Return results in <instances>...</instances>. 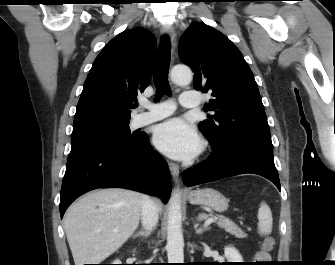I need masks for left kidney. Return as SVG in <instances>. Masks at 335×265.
Returning a JSON list of instances; mask_svg holds the SVG:
<instances>
[{
  "label": "left kidney",
  "mask_w": 335,
  "mask_h": 265,
  "mask_svg": "<svg viewBox=\"0 0 335 265\" xmlns=\"http://www.w3.org/2000/svg\"><path fill=\"white\" fill-rule=\"evenodd\" d=\"M224 255L228 262H242V256L237 249L231 246H227L224 249Z\"/></svg>",
  "instance_id": "1"
}]
</instances>
